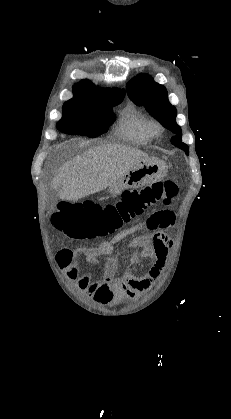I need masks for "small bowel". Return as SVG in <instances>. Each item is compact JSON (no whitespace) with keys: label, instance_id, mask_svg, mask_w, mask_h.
Here are the masks:
<instances>
[{"label":"small bowel","instance_id":"obj_1","mask_svg":"<svg viewBox=\"0 0 231 419\" xmlns=\"http://www.w3.org/2000/svg\"><path fill=\"white\" fill-rule=\"evenodd\" d=\"M174 213L168 210L150 216L146 221L126 228L110 240L102 242L98 247H84L79 250L65 248L62 263L57 259L58 265L65 271L67 277L76 282L78 288L96 303L112 306L125 298H134L148 291L159 280L166 266L167 258L173 249V241L158 228L173 229ZM166 224V225H165ZM146 230L151 234H144L131 240L129 247L134 251L133 262L143 258L150 259L151 265L148 272L139 275L132 270H127L121 277L118 273L117 260L112 256L114 247L126 238ZM81 254L87 264H95L100 257L105 258L101 276L93 280L87 273H81L78 255Z\"/></svg>","mask_w":231,"mask_h":419}]
</instances>
